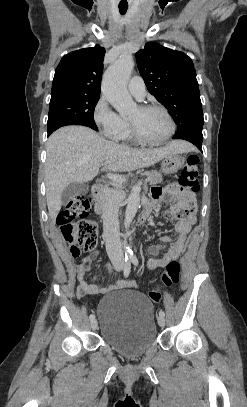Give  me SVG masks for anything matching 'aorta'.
<instances>
[{
  "label": "aorta",
  "instance_id": "762f6f07",
  "mask_svg": "<svg viewBox=\"0 0 247 407\" xmlns=\"http://www.w3.org/2000/svg\"><path fill=\"white\" fill-rule=\"evenodd\" d=\"M134 68L131 56H123L112 64L104 73L102 92L108 102L121 115L125 116L133 111L135 103L127 91V82ZM140 206V188L134 186L127 199L124 226L129 228ZM129 252V249L127 250Z\"/></svg>",
  "mask_w": 247,
  "mask_h": 407
}]
</instances>
